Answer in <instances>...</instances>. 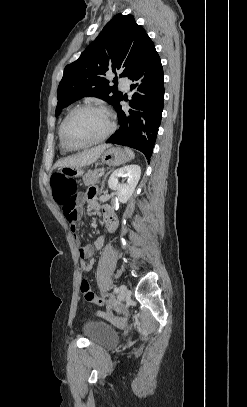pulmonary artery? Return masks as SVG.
Instances as JSON below:
<instances>
[{"label": "pulmonary artery", "instance_id": "1", "mask_svg": "<svg viewBox=\"0 0 247 407\" xmlns=\"http://www.w3.org/2000/svg\"><path fill=\"white\" fill-rule=\"evenodd\" d=\"M119 84L125 89L127 90L129 88L130 85V80L126 77H120L119 78Z\"/></svg>", "mask_w": 247, "mask_h": 407}]
</instances>
